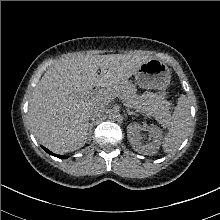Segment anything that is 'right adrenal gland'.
I'll use <instances>...</instances> for the list:
<instances>
[{"instance_id": "obj_1", "label": "right adrenal gland", "mask_w": 220, "mask_h": 220, "mask_svg": "<svg viewBox=\"0 0 220 220\" xmlns=\"http://www.w3.org/2000/svg\"><path fill=\"white\" fill-rule=\"evenodd\" d=\"M94 123H95V121L92 120V122L89 124V129H88V135H89V136L91 135V132H92V128H93Z\"/></svg>"}]
</instances>
